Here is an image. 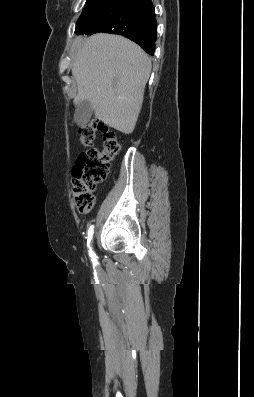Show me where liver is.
I'll use <instances>...</instances> for the list:
<instances>
[{
  "label": "liver",
  "mask_w": 254,
  "mask_h": 397,
  "mask_svg": "<svg viewBox=\"0 0 254 397\" xmlns=\"http://www.w3.org/2000/svg\"><path fill=\"white\" fill-rule=\"evenodd\" d=\"M72 54L78 89L74 103L88 100L97 119L132 133L151 73L149 56L134 42L105 33L76 37Z\"/></svg>",
  "instance_id": "6515ba94"
}]
</instances>
